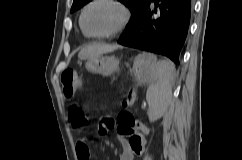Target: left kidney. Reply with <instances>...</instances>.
Here are the masks:
<instances>
[{
  "instance_id": "1",
  "label": "left kidney",
  "mask_w": 242,
  "mask_h": 160,
  "mask_svg": "<svg viewBox=\"0 0 242 160\" xmlns=\"http://www.w3.org/2000/svg\"><path fill=\"white\" fill-rule=\"evenodd\" d=\"M166 111L165 107H161L159 109H153L152 106L149 104V109H148V116L150 122H155L158 119H160Z\"/></svg>"
}]
</instances>
